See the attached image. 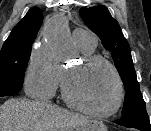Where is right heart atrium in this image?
<instances>
[{"label":"right heart atrium","instance_id":"right-heart-atrium-1","mask_svg":"<svg viewBox=\"0 0 151 131\" xmlns=\"http://www.w3.org/2000/svg\"><path fill=\"white\" fill-rule=\"evenodd\" d=\"M62 79V69L52 55L43 49H34L26 68L24 86L27 94L36 99L51 98Z\"/></svg>","mask_w":151,"mask_h":131}]
</instances>
